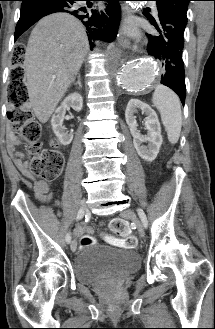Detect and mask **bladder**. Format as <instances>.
<instances>
[{"instance_id":"bladder-1","label":"bladder","mask_w":215,"mask_h":329,"mask_svg":"<svg viewBox=\"0 0 215 329\" xmlns=\"http://www.w3.org/2000/svg\"><path fill=\"white\" fill-rule=\"evenodd\" d=\"M136 253L107 246H87L74 260V274L82 284H92L108 275H125L138 270Z\"/></svg>"}]
</instances>
